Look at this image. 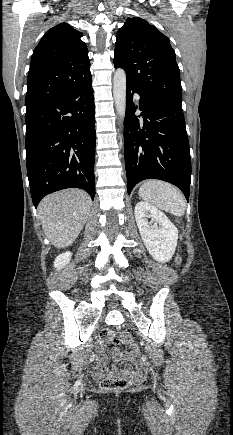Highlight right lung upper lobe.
I'll return each mask as SVG.
<instances>
[{"instance_id":"1","label":"right lung upper lobe","mask_w":233,"mask_h":435,"mask_svg":"<svg viewBox=\"0 0 233 435\" xmlns=\"http://www.w3.org/2000/svg\"><path fill=\"white\" fill-rule=\"evenodd\" d=\"M82 33L67 23L51 28L34 50L28 72L26 110L60 94L90 73Z\"/></svg>"}]
</instances>
